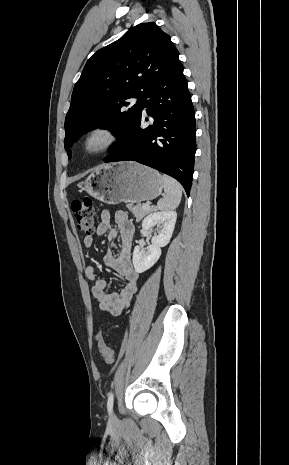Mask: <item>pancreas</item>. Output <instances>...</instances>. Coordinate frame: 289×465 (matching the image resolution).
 Listing matches in <instances>:
<instances>
[{
  "label": "pancreas",
  "mask_w": 289,
  "mask_h": 465,
  "mask_svg": "<svg viewBox=\"0 0 289 465\" xmlns=\"http://www.w3.org/2000/svg\"><path fill=\"white\" fill-rule=\"evenodd\" d=\"M126 207L133 213L137 222L142 220V218L150 212V209H144L143 205L137 204L133 205L132 203L127 204Z\"/></svg>",
  "instance_id": "1"
}]
</instances>
